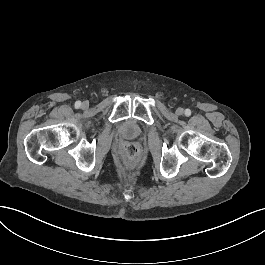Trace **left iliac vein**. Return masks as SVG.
<instances>
[{
  "label": "left iliac vein",
  "instance_id": "obj_1",
  "mask_svg": "<svg viewBox=\"0 0 265 265\" xmlns=\"http://www.w3.org/2000/svg\"><path fill=\"white\" fill-rule=\"evenodd\" d=\"M183 113H184V109L183 108L179 107V108L176 109V114L177 115H182Z\"/></svg>",
  "mask_w": 265,
  "mask_h": 265
}]
</instances>
